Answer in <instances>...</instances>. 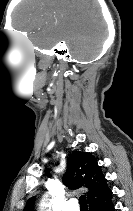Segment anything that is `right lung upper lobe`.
<instances>
[{
    "instance_id": "obj_1",
    "label": "right lung upper lobe",
    "mask_w": 133,
    "mask_h": 211,
    "mask_svg": "<svg viewBox=\"0 0 133 211\" xmlns=\"http://www.w3.org/2000/svg\"><path fill=\"white\" fill-rule=\"evenodd\" d=\"M63 183L73 189L87 188L89 206L105 202L112 196L101 167L98 166L95 157L88 152L75 151L69 155ZM34 201L35 197H31L23 211H33Z\"/></svg>"
}]
</instances>
